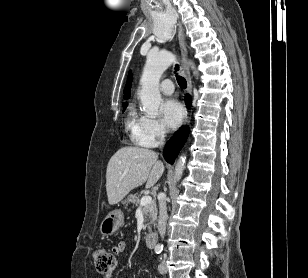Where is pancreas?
<instances>
[{"label": "pancreas", "instance_id": "pancreas-1", "mask_svg": "<svg viewBox=\"0 0 308 278\" xmlns=\"http://www.w3.org/2000/svg\"><path fill=\"white\" fill-rule=\"evenodd\" d=\"M126 204L133 203L136 206L140 204V199L137 194H131L127 197V199L123 202ZM142 213L145 218V227L148 228V230H151V225L155 224L157 221V207L155 201H151L149 204H146L142 208Z\"/></svg>", "mask_w": 308, "mask_h": 278}]
</instances>
